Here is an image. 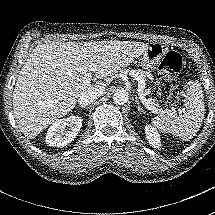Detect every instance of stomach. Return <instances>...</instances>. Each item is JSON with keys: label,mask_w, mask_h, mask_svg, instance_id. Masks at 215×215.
I'll return each mask as SVG.
<instances>
[{"label": "stomach", "mask_w": 215, "mask_h": 215, "mask_svg": "<svg viewBox=\"0 0 215 215\" xmlns=\"http://www.w3.org/2000/svg\"><path fill=\"white\" fill-rule=\"evenodd\" d=\"M169 51L170 50L167 45L152 43L141 55V64L147 68L155 70L158 68L161 61L165 58Z\"/></svg>", "instance_id": "1"}]
</instances>
